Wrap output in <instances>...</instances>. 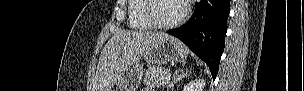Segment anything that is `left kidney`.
I'll use <instances>...</instances> for the list:
<instances>
[{
  "label": "left kidney",
  "mask_w": 304,
  "mask_h": 91,
  "mask_svg": "<svg viewBox=\"0 0 304 91\" xmlns=\"http://www.w3.org/2000/svg\"><path fill=\"white\" fill-rule=\"evenodd\" d=\"M205 84L204 79H195L184 86L183 91H203Z\"/></svg>",
  "instance_id": "left-kidney-1"
}]
</instances>
